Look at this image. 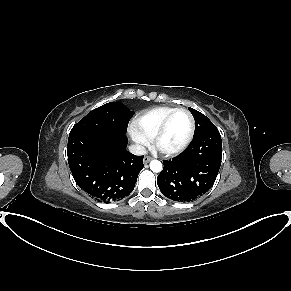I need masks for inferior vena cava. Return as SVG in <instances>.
Here are the masks:
<instances>
[{
	"label": "inferior vena cava",
	"mask_w": 291,
	"mask_h": 291,
	"mask_svg": "<svg viewBox=\"0 0 291 291\" xmlns=\"http://www.w3.org/2000/svg\"><path fill=\"white\" fill-rule=\"evenodd\" d=\"M129 150L131 153L134 155H145L146 154V148L142 145L139 144H133L129 147Z\"/></svg>",
	"instance_id": "602c4592"
}]
</instances>
